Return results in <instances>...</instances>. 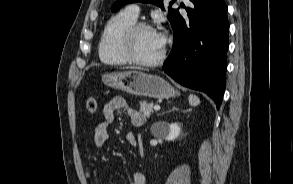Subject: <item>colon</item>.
Segmentation results:
<instances>
[{
    "mask_svg": "<svg viewBox=\"0 0 293 184\" xmlns=\"http://www.w3.org/2000/svg\"><path fill=\"white\" fill-rule=\"evenodd\" d=\"M86 108L89 113H95L97 110V100L95 96H89L86 100Z\"/></svg>",
    "mask_w": 293,
    "mask_h": 184,
    "instance_id": "1",
    "label": "colon"
}]
</instances>
